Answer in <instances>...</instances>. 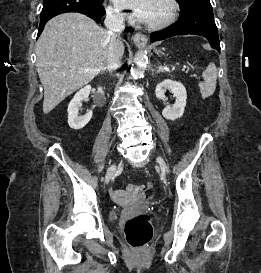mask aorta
Instances as JSON below:
<instances>
[{
  "label": "aorta",
  "mask_w": 261,
  "mask_h": 273,
  "mask_svg": "<svg viewBox=\"0 0 261 273\" xmlns=\"http://www.w3.org/2000/svg\"><path fill=\"white\" fill-rule=\"evenodd\" d=\"M147 63V53L145 51H139L134 58L135 66L131 69V75L134 78H138L139 76H141L144 73Z\"/></svg>",
  "instance_id": "aorta-1"
}]
</instances>
